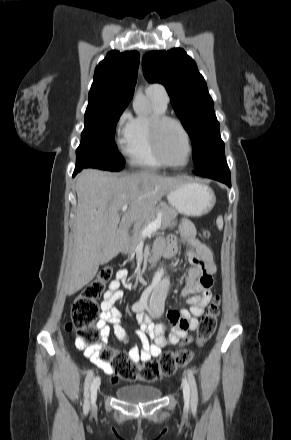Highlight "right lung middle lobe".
<instances>
[{
  "instance_id": "dd1d6c3e",
  "label": "right lung middle lobe",
  "mask_w": 291,
  "mask_h": 440,
  "mask_svg": "<svg viewBox=\"0 0 291 440\" xmlns=\"http://www.w3.org/2000/svg\"><path fill=\"white\" fill-rule=\"evenodd\" d=\"M126 107L115 103L87 106L81 143L76 150L75 169H123L124 158L117 150L114 134L119 117Z\"/></svg>"
}]
</instances>
